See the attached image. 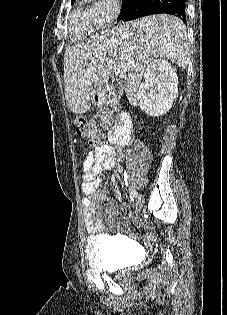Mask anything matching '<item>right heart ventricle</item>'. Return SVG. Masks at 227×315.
Masks as SVG:
<instances>
[{"instance_id":"1","label":"right heart ventricle","mask_w":227,"mask_h":315,"mask_svg":"<svg viewBox=\"0 0 227 315\" xmlns=\"http://www.w3.org/2000/svg\"><path fill=\"white\" fill-rule=\"evenodd\" d=\"M71 30L77 39L93 35L97 29L90 8L78 4L70 14Z\"/></svg>"}]
</instances>
